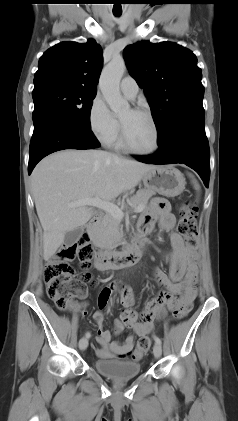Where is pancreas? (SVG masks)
Instances as JSON below:
<instances>
[{
  "label": "pancreas",
  "mask_w": 238,
  "mask_h": 421,
  "mask_svg": "<svg viewBox=\"0 0 238 421\" xmlns=\"http://www.w3.org/2000/svg\"><path fill=\"white\" fill-rule=\"evenodd\" d=\"M153 195H155V192L152 190H139L126 203L122 202L121 207L125 208L127 205H130L132 207H142L145 209L149 199ZM91 236L98 247L107 249L114 248L123 236L120 220L110 213H106L91 232Z\"/></svg>",
  "instance_id": "obj_1"
}]
</instances>
